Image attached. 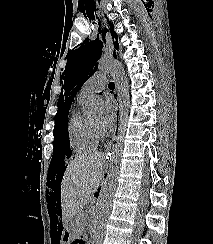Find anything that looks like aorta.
I'll list each match as a JSON object with an SVG mask.
<instances>
[{"mask_svg": "<svg viewBox=\"0 0 213 244\" xmlns=\"http://www.w3.org/2000/svg\"><path fill=\"white\" fill-rule=\"evenodd\" d=\"M98 69L102 72L110 73L117 82L120 91V127L117 136V143L110 161L109 173L102 184V188L97 199L93 212V235L92 244H102L106 235V225L113 205V198L117 189L121 157L123 151V141L128 124V83L123 78V68L119 61L104 57L98 62ZM103 111V102L99 98H90L87 102L86 113L88 115H100Z\"/></svg>", "mask_w": 213, "mask_h": 244, "instance_id": "obj_1", "label": "aorta"}]
</instances>
